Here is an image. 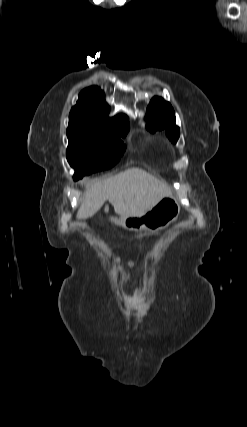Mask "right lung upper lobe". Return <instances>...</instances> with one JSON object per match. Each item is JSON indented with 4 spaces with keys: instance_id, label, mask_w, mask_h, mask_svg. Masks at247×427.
<instances>
[{
    "instance_id": "1",
    "label": "right lung upper lobe",
    "mask_w": 247,
    "mask_h": 427,
    "mask_svg": "<svg viewBox=\"0 0 247 427\" xmlns=\"http://www.w3.org/2000/svg\"><path fill=\"white\" fill-rule=\"evenodd\" d=\"M108 113L109 106L105 102L104 92L92 86L79 94L76 105L71 109L69 121L107 129L129 126L127 116L109 118Z\"/></svg>"
}]
</instances>
